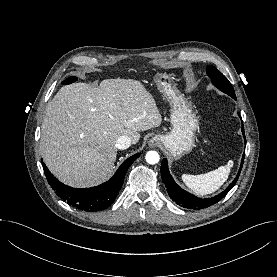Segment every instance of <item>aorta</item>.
<instances>
[{"mask_svg": "<svg viewBox=\"0 0 277 277\" xmlns=\"http://www.w3.org/2000/svg\"><path fill=\"white\" fill-rule=\"evenodd\" d=\"M145 158L149 164H157L160 160L159 154L156 151L147 152Z\"/></svg>", "mask_w": 277, "mask_h": 277, "instance_id": "1", "label": "aorta"}]
</instances>
